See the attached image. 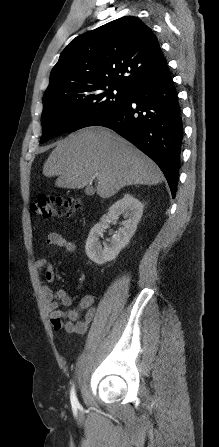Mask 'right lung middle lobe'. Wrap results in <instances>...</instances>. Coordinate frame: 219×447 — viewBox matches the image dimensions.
<instances>
[{
	"label": "right lung middle lobe",
	"instance_id": "obj_1",
	"mask_svg": "<svg viewBox=\"0 0 219 447\" xmlns=\"http://www.w3.org/2000/svg\"><path fill=\"white\" fill-rule=\"evenodd\" d=\"M131 93L121 86L104 85L87 93H54L43 97L41 142L90 126L113 108L127 102Z\"/></svg>",
	"mask_w": 219,
	"mask_h": 447
}]
</instances>
